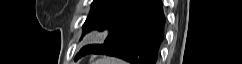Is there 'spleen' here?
<instances>
[{
    "mask_svg": "<svg viewBox=\"0 0 242 64\" xmlns=\"http://www.w3.org/2000/svg\"><path fill=\"white\" fill-rule=\"evenodd\" d=\"M94 64H126V63L119 59L104 57V58L98 59Z\"/></svg>",
    "mask_w": 242,
    "mask_h": 64,
    "instance_id": "1",
    "label": "spleen"
}]
</instances>
